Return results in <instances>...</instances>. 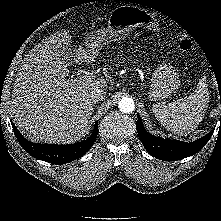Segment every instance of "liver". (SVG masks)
I'll list each match as a JSON object with an SVG mask.
<instances>
[{"label":"liver","instance_id":"1","mask_svg":"<svg viewBox=\"0 0 221 221\" xmlns=\"http://www.w3.org/2000/svg\"><path fill=\"white\" fill-rule=\"evenodd\" d=\"M61 47L73 54L65 30L32 49L16 75L10 111L20 131L33 141L67 143L82 135L92 114L90 92L107 87L103 78L91 83L67 80L69 64L59 55ZM75 57L76 63H83L94 55L79 47Z\"/></svg>","mask_w":221,"mask_h":221}]
</instances>
